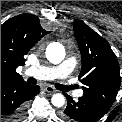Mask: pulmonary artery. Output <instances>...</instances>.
Segmentation results:
<instances>
[{
    "label": "pulmonary artery",
    "instance_id": "pulmonary-artery-1",
    "mask_svg": "<svg viewBox=\"0 0 122 122\" xmlns=\"http://www.w3.org/2000/svg\"><path fill=\"white\" fill-rule=\"evenodd\" d=\"M76 66L75 57H68L57 66H37L26 70V74L42 80L66 79ZM77 97L83 95L82 90L75 92Z\"/></svg>",
    "mask_w": 122,
    "mask_h": 122
}]
</instances>
